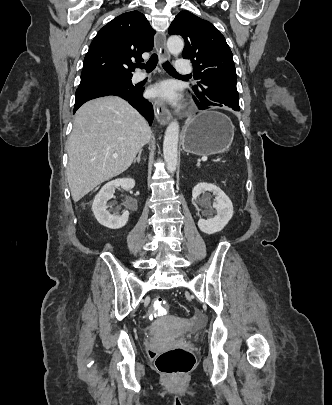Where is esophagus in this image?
Returning a JSON list of instances; mask_svg holds the SVG:
<instances>
[{
	"instance_id": "34e87169",
	"label": "esophagus",
	"mask_w": 332,
	"mask_h": 405,
	"mask_svg": "<svg viewBox=\"0 0 332 405\" xmlns=\"http://www.w3.org/2000/svg\"><path fill=\"white\" fill-rule=\"evenodd\" d=\"M155 46L159 53L160 61L163 62L170 58V54L166 47V35L163 32H159L155 36ZM154 111L157 118V121L166 125L171 119V113L168 108L161 101L154 102Z\"/></svg>"
}]
</instances>
